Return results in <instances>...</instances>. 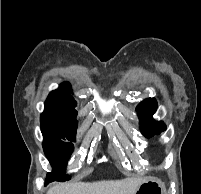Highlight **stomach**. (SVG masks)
I'll list each match as a JSON object with an SVG mask.
<instances>
[{"mask_svg":"<svg viewBox=\"0 0 201 194\" xmlns=\"http://www.w3.org/2000/svg\"><path fill=\"white\" fill-rule=\"evenodd\" d=\"M162 184L157 179H147L138 187L135 194H162Z\"/></svg>","mask_w":201,"mask_h":194,"instance_id":"stomach-1","label":"stomach"}]
</instances>
